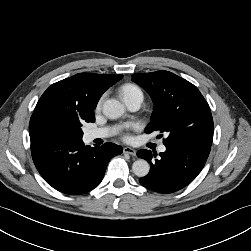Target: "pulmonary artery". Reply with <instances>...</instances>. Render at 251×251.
<instances>
[{
  "mask_svg": "<svg viewBox=\"0 0 251 251\" xmlns=\"http://www.w3.org/2000/svg\"><path fill=\"white\" fill-rule=\"evenodd\" d=\"M141 98H135L126 102L128 108L132 111L138 110L142 104ZM112 134V130L110 128H98V129H91L86 131L85 138L87 141H92L98 138H106ZM159 152H165L166 147L165 145H160L158 148Z\"/></svg>",
  "mask_w": 251,
  "mask_h": 251,
  "instance_id": "obj_1",
  "label": "pulmonary artery"
}]
</instances>
